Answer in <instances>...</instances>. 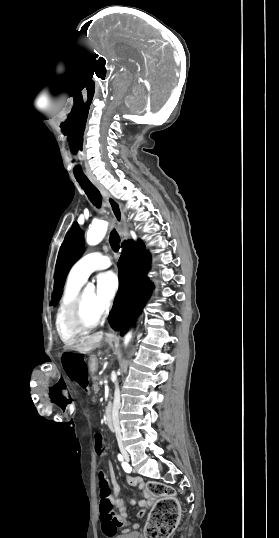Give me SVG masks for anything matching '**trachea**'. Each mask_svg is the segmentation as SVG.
I'll use <instances>...</instances> for the list:
<instances>
[{
	"instance_id": "1",
	"label": "trachea",
	"mask_w": 279,
	"mask_h": 538,
	"mask_svg": "<svg viewBox=\"0 0 279 538\" xmlns=\"http://www.w3.org/2000/svg\"><path fill=\"white\" fill-rule=\"evenodd\" d=\"M76 180L78 181L81 188L86 193L87 197L91 201V203L96 206L98 209L101 208L102 202H101V195L99 190L91 183V181L87 177H76ZM109 243L111 245V248L114 252H118L120 248V237L115 229H113L109 236Z\"/></svg>"
}]
</instances>
